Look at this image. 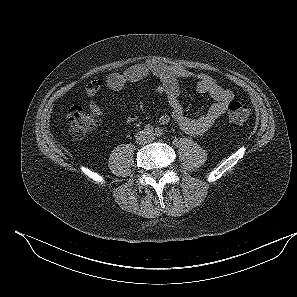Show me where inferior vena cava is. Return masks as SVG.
Wrapping results in <instances>:
<instances>
[{
	"label": "inferior vena cava",
	"instance_id": "obj_1",
	"mask_svg": "<svg viewBox=\"0 0 297 297\" xmlns=\"http://www.w3.org/2000/svg\"><path fill=\"white\" fill-rule=\"evenodd\" d=\"M137 140L139 141L140 140V143L142 142H144V143H147V140L146 139H144V140H142L140 137H137Z\"/></svg>",
	"mask_w": 297,
	"mask_h": 297
}]
</instances>
